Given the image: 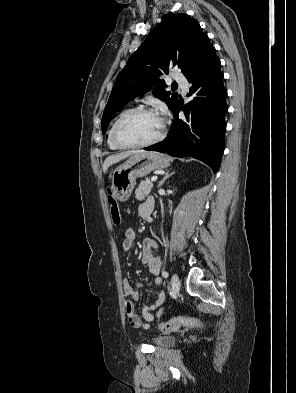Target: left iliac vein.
I'll return each instance as SVG.
<instances>
[{
	"label": "left iliac vein",
	"instance_id": "4c4485c4",
	"mask_svg": "<svg viewBox=\"0 0 296 393\" xmlns=\"http://www.w3.org/2000/svg\"><path fill=\"white\" fill-rule=\"evenodd\" d=\"M180 280L176 274H173L171 277V288L174 294H177L180 290Z\"/></svg>",
	"mask_w": 296,
	"mask_h": 393
}]
</instances>
